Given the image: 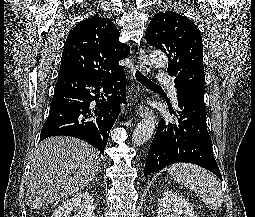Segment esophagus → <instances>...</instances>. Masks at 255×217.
Segmentation results:
<instances>
[{"mask_svg": "<svg viewBox=\"0 0 255 217\" xmlns=\"http://www.w3.org/2000/svg\"><path fill=\"white\" fill-rule=\"evenodd\" d=\"M139 64L143 73L149 74L151 72V64L144 50H139ZM139 114L142 118L155 119L154 112L145 106L143 103L139 106Z\"/></svg>", "mask_w": 255, "mask_h": 217, "instance_id": "1", "label": "esophagus"}]
</instances>
